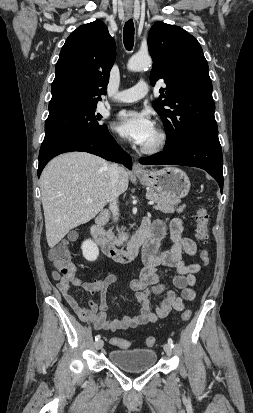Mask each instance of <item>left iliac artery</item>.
<instances>
[{"instance_id":"left-iliac-artery-1","label":"left iliac artery","mask_w":253,"mask_h":413,"mask_svg":"<svg viewBox=\"0 0 253 413\" xmlns=\"http://www.w3.org/2000/svg\"><path fill=\"white\" fill-rule=\"evenodd\" d=\"M168 343L170 344L171 348L174 347V343H173V340L171 338L168 339Z\"/></svg>"}]
</instances>
